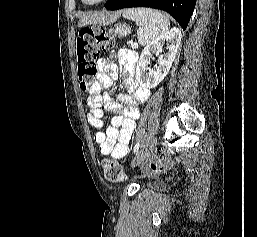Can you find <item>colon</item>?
Returning <instances> with one entry per match:
<instances>
[{"instance_id": "colon-1", "label": "colon", "mask_w": 257, "mask_h": 237, "mask_svg": "<svg viewBox=\"0 0 257 237\" xmlns=\"http://www.w3.org/2000/svg\"><path fill=\"white\" fill-rule=\"evenodd\" d=\"M115 46V38L111 33L100 27L90 26L83 28L76 40L78 61V78L82 90L89 88L96 76V59L101 51H109ZM170 160L163 151H159L156 160L149 167L155 173L162 172ZM106 180L119 182L125 178L121 164L113 159H106L102 163Z\"/></svg>"}]
</instances>
